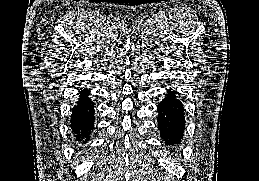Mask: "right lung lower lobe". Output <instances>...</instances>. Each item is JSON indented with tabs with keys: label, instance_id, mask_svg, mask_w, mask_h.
Masks as SVG:
<instances>
[{
	"label": "right lung lower lobe",
	"instance_id": "obj_1",
	"mask_svg": "<svg viewBox=\"0 0 259 181\" xmlns=\"http://www.w3.org/2000/svg\"><path fill=\"white\" fill-rule=\"evenodd\" d=\"M87 88L81 89L79 99L72 108L71 128L77 140L84 139V143L89 139V134L93 130L95 120L93 102L88 97Z\"/></svg>",
	"mask_w": 259,
	"mask_h": 181
}]
</instances>
